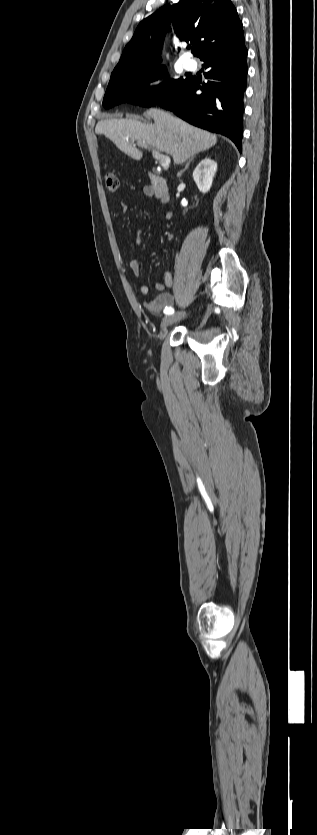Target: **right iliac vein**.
I'll use <instances>...</instances> for the list:
<instances>
[{
  "label": "right iliac vein",
  "instance_id": "1",
  "mask_svg": "<svg viewBox=\"0 0 317 835\" xmlns=\"http://www.w3.org/2000/svg\"><path fill=\"white\" fill-rule=\"evenodd\" d=\"M185 311L177 312L175 314L167 315L161 323V330L164 331L169 325L176 323L185 317Z\"/></svg>",
  "mask_w": 317,
  "mask_h": 835
}]
</instances>
